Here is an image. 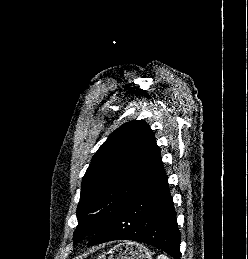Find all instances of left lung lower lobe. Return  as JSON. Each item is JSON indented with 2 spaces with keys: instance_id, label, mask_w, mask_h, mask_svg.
I'll use <instances>...</instances> for the list:
<instances>
[{
  "instance_id": "1",
  "label": "left lung lower lobe",
  "mask_w": 248,
  "mask_h": 259,
  "mask_svg": "<svg viewBox=\"0 0 248 259\" xmlns=\"http://www.w3.org/2000/svg\"><path fill=\"white\" fill-rule=\"evenodd\" d=\"M122 239L151 244L180 259V232L167 176L96 233L88 246Z\"/></svg>"
}]
</instances>
